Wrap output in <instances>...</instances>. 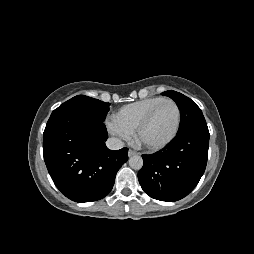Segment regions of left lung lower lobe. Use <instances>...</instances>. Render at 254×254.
Masks as SVG:
<instances>
[{
	"label": "left lung lower lobe",
	"instance_id": "obj_1",
	"mask_svg": "<svg viewBox=\"0 0 254 254\" xmlns=\"http://www.w3.org/2000/svg\"><path fill=\"white\" fill-rule=\"evenodd\" d=\"M208 147V128H195L177 134L163 150L143 155L138 179L144 192L167 202L187 196L205 171Z\"/></svg>",
	"mask_w": 254,
	"mask_h": 254
}]
</instances>
